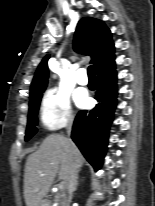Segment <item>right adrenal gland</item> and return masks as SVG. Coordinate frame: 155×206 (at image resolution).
<instances>
[{"mask_svg": "<svg viewBox=\"0 0 155 206\" xmlns=\"http://www.w3.org/2000/svg\"><path fill=\"white\" fill-rule=\"evenodd\" d=\"M78 185H79V181H78V174H77V176H76V182H75V190L77 189Z\"/></svg>", "mask_w": 155, "mask_h": 206, "instance_id": "2a0ac1e0", "label": "right adrenal gland"}]
</instances>
